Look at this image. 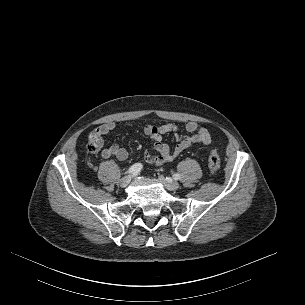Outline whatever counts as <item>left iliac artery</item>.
Here are the masks:
<instances>
[{
  "label": "left iliac artery",
  "mask_w": 305,
  "mask_h": 305,
  "mask_svg": "<svg viewBox=\"0 0 305 305\" xmlns=\"http://www.w3.org/2000/svg\"><path fill=\"white\" fill-rule=\"evenodd\" d=\"M173 178L175 180H178V179H180V175L178 173H175V174H173Z\"/></svg>",
  "instance_id": "obj_1"
}]
</instances>
